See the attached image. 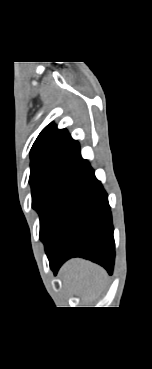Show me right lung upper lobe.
<instances>
[{"label": "right lung upper lobe", "instance_id": "obj_1", "mask_svg": "<svg viewBox=\"0 0 152 369\" xmlns=\"http://www.w3.org/2000/svg\"><path fill=\"white\" fill-rule=\"evenodd\" d=\"M31 171L40 167L79 164L82 159L80 146L73 140L66 129H57L54 123L47 125L34 142L31 151Z\"/></svg>", "mask_w": 152, "mask_h": 369}]
</instances>
